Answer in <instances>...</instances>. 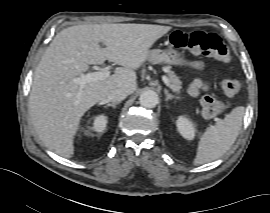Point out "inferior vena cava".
I'll use <instances>...</instances> for the list:
<instances>
[{"label":"inferior vena cava","mask_w":270,"mask_h":213,"mask_svg":"<svg viewBox=\"0 0 270 213\" xmlns=\"http://www.w3.org/2000/svg\"><path fill=\"white\" fill-rule=\"evenodd\" d=\"M127 91L123 89H114L107 95V100L111 102H119L127 97Z\"/></svg>","instance_id":"602c4592"}]
</instances>
